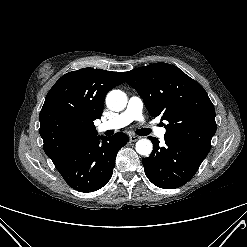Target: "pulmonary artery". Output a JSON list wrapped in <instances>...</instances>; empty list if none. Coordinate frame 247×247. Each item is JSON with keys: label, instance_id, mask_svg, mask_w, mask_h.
Here are the masks:
<instances>
[{"label": "pulmonary artery", "instance_id": "pulmonary-artery-1", "mask_svg": "<svg viewBox=\"0 0 247 247\" xmlns=\"http://www.w3.org/2000/svg\"><path fill=\"white\" fill-rule=\"evenodd\" d=\"M143 104L139 97L132 96L127 104L126 109L117 114L113 118L100 123L97 127L99 132H104L107 130H117L121 129L133 121H142L143 114H142ZM149 130L153 132L158 138L163 139L166 130L164 128H159L154 125H150Z\"/></svg>", "mask_w": 247, "mask_h": 247}]
</instances>
